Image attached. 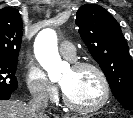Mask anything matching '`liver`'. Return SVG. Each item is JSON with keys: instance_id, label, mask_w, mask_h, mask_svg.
<instances>
[{"instance_id": "1", "label": "liver", "mask_w": 133, "mask_h": 118, "mask_svg": "<svg viewBox=\"0 0 133 118\" xmlns=\"http://www.w3.org/2000/svg\"><path fill=\"white\" fill-rule=\"evenodd\" d=\"M28 116L27 104L15 100H0V118H29Z\"/></svg>"}]
</instances>
